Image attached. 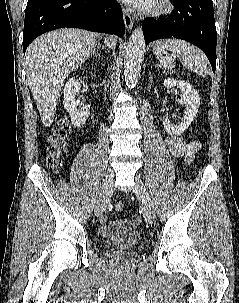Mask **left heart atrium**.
Wrapping results in <instances>:
<instances>
[{
    "label": "left heart atrium",
    "mask_w": 239,
    "mask_h": 303,
    "mask_svg": "<svg viewBox=\"0 0 239 303\" xmlns=\"http://www.w3.org/2000/svg\"><path fill=\"white\" fill-rule=\"evenodd\" d=\"M123 1L133 5L136 8L145 9L152 3L153 0H123Z\"/></svg>",
    "instance_id": "obj_1"
}]
</instances>
